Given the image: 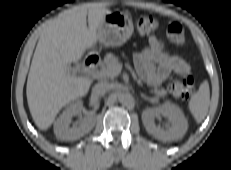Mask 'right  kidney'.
Returning <instances> with one entry per match:
<instances>
[{
    "mask_svg": "<svg viewBox=\"0 0 231 170\" xmlns=\"http://www.w3.org/2000/svg\"><path fill=\"white\" fill-rule=\"evenodd\" d=\"M82 107L83 104L81 101L71 103L55 121L54 133L58 139L62 141H74L80 139L93 129L96 121L94 114L85 116L79 125L69 126L72 117L79 114Z\"/></svg>",
    "mask_w": 231,
    "mask_h": 170,
    "instance_id": "ca27d5eb",
    "label": "right kidney"
}]
</instances>
